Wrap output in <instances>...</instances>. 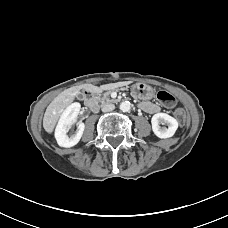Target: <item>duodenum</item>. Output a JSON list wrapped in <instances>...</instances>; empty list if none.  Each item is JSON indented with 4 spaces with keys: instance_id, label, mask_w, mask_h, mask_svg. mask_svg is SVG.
<instances>
[{
    "instance_id": "1",
    "label": "duodenum",
    "mask_w": 228,
    "mask_h": 228,
    "mask_svg": "<svg viewBox=\"0 0 228 228\" xmlns=\"http://www.w3.org/2000/svg\"><path fill=\"white\" fill-rule=\"evenodd\" d=\"M84 100L86 105L92 110L96 111L98 109V102L95 97V92L92 88H87L84 92Z\"/></svg>"
}]
</instances>
